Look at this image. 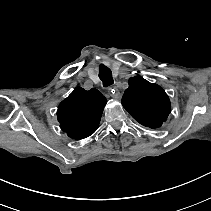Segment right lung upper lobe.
Masks as SVG:
<instances>
[{
    "mask_svg": "<svg viewBox=\"0 0 211 211\" xmlns=\"http://www.w3.org/2000/svg\"><path fill=\"white\" fill-rule=\"evenodd\" d=\"M106 102L97 89L86 91L76 87L58 106L57 118L62 131L73 139L90 136L98 128Z\"/></svg>",
    "mask_w": 211,
    "mask_h": 211,
    "instance_id": "obj_1",
    "label": "right lung upper lobe"
}]
</instances>
